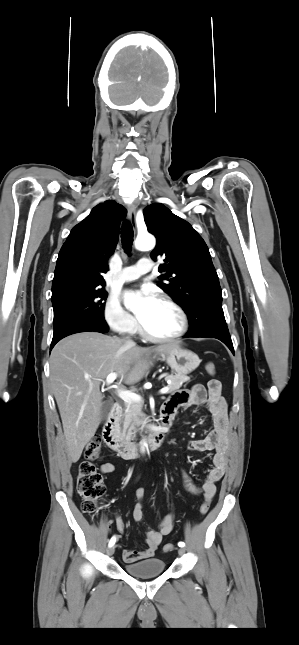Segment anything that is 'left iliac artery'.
<instances>
[{
  "label": "left iliac artery",
  "instance_id": "44dca946",
  "mask_svg": "<svg viewBox=\"0 0 299 645\" xmlns=\"http://www.w3.org/2000/svg\"><path fill=\"white\" fill-rule=\"evenodd\" d=\"M178 546H179V547H184V546H185V543H184V542H179V543H178Z\"/></svg>",
  "mask_w": 299,
  "mask_h": 645
}]
</instances>
